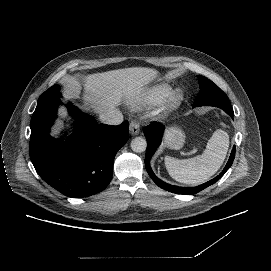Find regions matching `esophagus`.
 <instances>
[{
	"label": "esophagus",
	"mask_w": 271,
	"mask_h": 271,
	"mask_svg": "<svg viewBox=\"0 0 271 271\" xmlns=\"http://www.w3.org/2000/svg\"><path fill=\"white\" fill-rule=\"evenodd\" d=\"M140 132V125L139 123L137 122V120L135 119H132L130 121V133L132 136H136L138 135Z\"/></svg>",
	"instance_id": "obj_1"
}]
</instances>
